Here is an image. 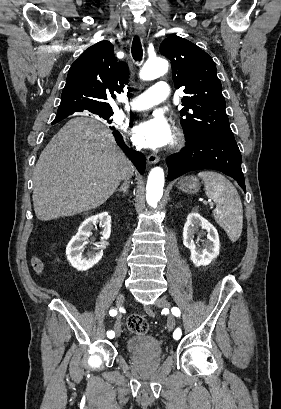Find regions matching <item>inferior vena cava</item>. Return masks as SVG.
Instances as JSON below:
<instances>
[{
	"mask_svg": "<svg viewBox=\"0 0 281 409\" xmlns=\"http://www.w3.org/2000/svg\"><path fill=\"white\" fill-rule=\"evenodd\" d=\"M129 164H130V166H132V162H129ZM132 174H133V172L131 170V172H127V174H124V178H126V180H127V178H130V176H132Z\"/></svg>",
	"mask_w": 281,
	"mask_h": 409,
	"instance_id": "obj_1",
	"label": "inferior vena cava"
}]
</instances>
